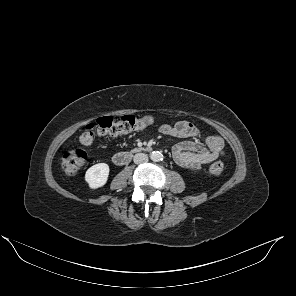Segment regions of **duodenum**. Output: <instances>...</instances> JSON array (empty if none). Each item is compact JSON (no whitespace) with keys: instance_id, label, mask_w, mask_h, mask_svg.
Wrapping results in <instances>:
<instances>
[{"instance_id":"410a0bca","label":"duodenum","mask_w":296,"mask_h":296,"mask_svg":"<svg viewBox=\"0 0 296 296\" xmlns=\"http://www.w3.org/2000/svg\"><path fill=\"white\" fill-rule=\"evenodd\" d=\"M143 151L144 152L150 151V148L145 147L143 148ZM132 157H133V152H119L114 155L113 162L117 166H123L128 164L131 161Z\"/></svg>"}]
</instances>
